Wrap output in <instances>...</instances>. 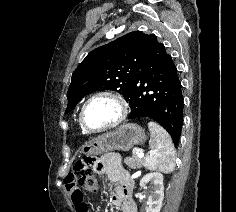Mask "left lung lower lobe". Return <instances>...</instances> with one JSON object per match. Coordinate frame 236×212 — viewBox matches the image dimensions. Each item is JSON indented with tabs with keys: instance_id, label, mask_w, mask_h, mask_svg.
<instances>
[{
	"instance_id": "1",
	"label": "left lung lower lobe",
	"mask_w": 236,
	"mask_h": 212,
	"mask_svg": "<svg viewBox=\"0 0 236 212\" xmlns=\"http://www.w3.org/2000/svg\"><path fill=\"white\" fill-rule=\"evenodd\" d=\"M129 118L147 117L163 126L178 144L183 125V95L177 68L163 44L151 35L126 99Z\"/></svg>"
}]
</instances>
